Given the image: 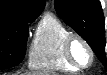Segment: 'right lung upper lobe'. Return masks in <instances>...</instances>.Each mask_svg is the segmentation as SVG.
<instances>
[{
    "label": "right lung upper lobe",
    "instance_id": "right-lung-upper-lobe-1",
    "mask_svg": "<svg viewBox=\"0 0 107 75\" xmlns=\"http://www.w3.org/2000/svg\"><path fill=\"white\" fill-rule=\"evenodd\" d=\"M45 0H0V31L13 23H31L42 12Z\"/></svg>",
    "mask_w": 107,
    "mask_h": 75
}]
</instances>
